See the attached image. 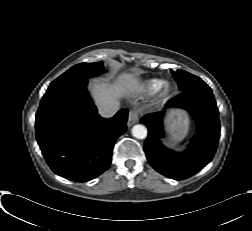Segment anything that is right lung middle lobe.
I'll return each mask as SVG.
<instances>
[{
	"label": "right lung middle lobe",
	"mask_w": 252,
	"mask_h": 231,
	"mask_svg": "<svg viewBox=\"0 0 252 231\" xmlns=\"http://www.w3.org/2000/svg\"><path fill=\"white\" fill-rule=\"evenodd\" d=\"M103 72H104V66L102 62L77 64L71 67L65 73H63L57 79H55L50 84L47 91H50V90L74 83V82L85 81L88 78L97 76L99 74H102Z\"/></svg>",
	"instance_id": "dd1d6c3e"
}]
</instances>
